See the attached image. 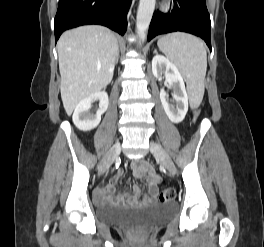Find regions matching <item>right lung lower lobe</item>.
<instances>
[{"label":"right lung lower lobe","mask_w":264,"mask_h":247,"mask_svg":"<svg viewBox=\"0 0 264 247\" xmlns=\"http://www.w3.org/2000/svg\"><path fill=\"white\" fill-rule=\"evenodd\" d=\"M131 0H59L54 20L55 41L67 29L99 24L124 35Z\"/></svg>","instance_id":"1"}]
</instances>
